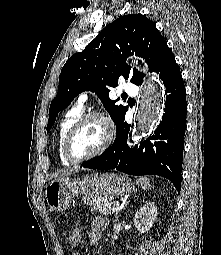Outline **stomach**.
<instances>
[{"label": "stomach", "instance_id": "stomach-1", "mask_svg": "<svg viewBox=\"0 0 221 255\" xmlns=\"http://www.w3.org/2000/svg\"><path fill=\"white\" fill-rule=\"evenodd\" d=\"M134 190V184L116 173L93 174L82 178L61 176L53 179L45 190L50 209L62 211L68 208L74 197L82 196L87 203L101 196H122Z\"/></svg>", "mask_w": 221, "mask_h": 255}]
</instances>
